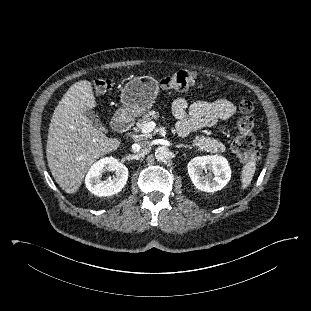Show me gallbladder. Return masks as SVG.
Returning <instances> with one entry per match:
<instances>
[{
	"label": "gallbladder",
	"instance_id": "obj_1",
	"mask_svg": "<svg viewBox=\"0 0 311 311\" xmlns=\"http://www.w3.org/2000/svg\"><path fill=\"white\" fill-rule=\"evenodd\" d=\"M84 115L92 122L94 127L100 130L104 129L98 115L94 111L87 109L84 111Z\"/></svg>",
	"mask_w": 311,
	"mask_h": 311
}]
</instances>
